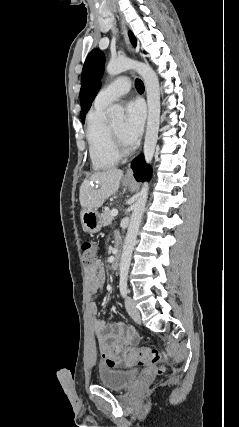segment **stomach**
I'll use <instances>...</instances> for the list:
<instances>
[{
  "label": "stomach",
  "instance_id": "0dacf381",
  "mask_svg": "<svg viewBox=\"0 0 239 427\" xmlns=\"http://www.w3.org/2000/svg\"><path fill=\"white\" fill-rule=\"evenodd\" d=\"M126 187H131V182H123ZM81 223L83 229L88 233H97L103 226L102 215L96 209L84 208L81 211Z\"/></svg>",
  "mask_w": 239,
  "mask_h": 427
}]
</instances>
